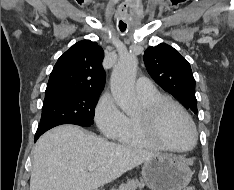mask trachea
<instances>
[{"mask_svg": "<svg viewBox=\"0 0 234 190\" xmlns=\"http://www.w3.org/2000/svg\"><path fill=\"white\" fill-rule=\"evenodd\" d=\"M119 29L121 32H124L126 30V26L125 25H119Z\"/></svg>", "mask_w": 234, "mask_h": 190, "instance_id": "obj_1", "label": "trachea"}]
</instances>
